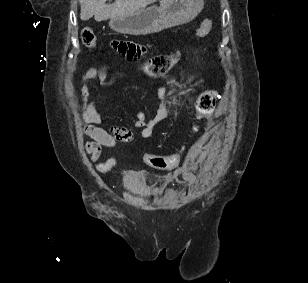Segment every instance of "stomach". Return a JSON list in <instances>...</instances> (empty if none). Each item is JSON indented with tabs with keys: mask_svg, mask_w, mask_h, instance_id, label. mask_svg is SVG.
<instances>
[{
	"mask_svg": "<svg viewBox=\"0 0 308 283\" xmlns=\"http://www.w3.org/2000/svg\"><path fill=\"white\" fill-rule=\"evenodd\" d=\"M203 0H161L160 6L110 18L112 30L129 35H147L192 21L203 9Z\"/></svg>",
	"mask_w": 308,
	"mask_h": 283,
	"instance_id": "0dacf381",
	"label": "stomach"
}]
</instances>
